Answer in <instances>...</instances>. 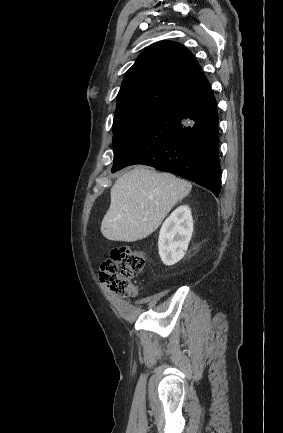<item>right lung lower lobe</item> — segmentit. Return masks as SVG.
<instances>
[{"label": "right lung lower lobe", "instance_id": "right-lung-lower-lobe-1", "mask_svg": "<svg viewBox=\"0 0 283 433\" xmlns=\"http://www.w3.org/2000/svg\"><path fill=\"white\" fill-rule=\"evenodd\" d=\"M145 164L187 178L216 197L221 190L218 113L209 86L149 121L114 157L112 172Z\"/></svg>", "mask_w": 283, "mask_h": 433}]
</instances>
